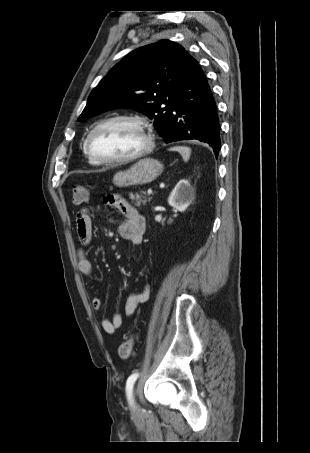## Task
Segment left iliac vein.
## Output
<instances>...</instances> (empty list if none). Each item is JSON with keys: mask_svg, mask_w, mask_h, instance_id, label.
Here are the masks:
<instances>
[{"mask_svg": "<svg viewBox=\"0 0 310 453\" xmlns=\"http://www.w3.org/2000/svg\"><path fill=\"white\" fill-rule=\"evenodd\" d=\"M131 410H132L133 413H137L139 411V407H138V405H137V403L135 401V392L133 394V403L131 405Z\"/></svg>", "mask_w": 310, "mask_h": 453, "instance_id": "left-iliac-vein-1", "label": "left iliac vein"}]
</instances>
